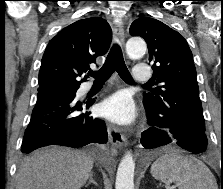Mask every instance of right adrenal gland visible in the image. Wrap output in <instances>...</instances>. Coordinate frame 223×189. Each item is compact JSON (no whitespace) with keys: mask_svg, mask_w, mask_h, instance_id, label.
Wrapping results in <instances>:
<instances>
[{"mask_svg":"<svg viewBox=\"0 0 223 189\" xmlns=\"http://www.w3.org/2000/svg\"><path fill=\"white\" fill-rule=\"evenodd\" d=\"M94 184L95 186H98L97 182H95V180L93 179V173H90V176H89V181L88 183L85 185V187H87L89 184Z\"/></svg>","mask_w":223,"mask_h":189,"instance_id":"right-adrenal-gland-1","label":"right adrenal gland"}]
</instances>
